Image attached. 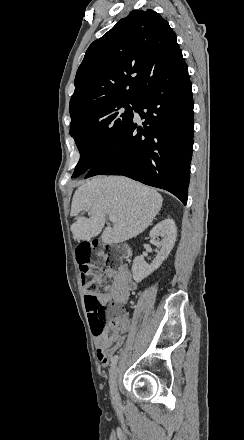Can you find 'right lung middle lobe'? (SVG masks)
I'll return each mask as SVG.
<instances>
[{
	"label": "right lung middle lobe",
	"instance_id": "obj_1",
	"mask_svg": "<svg viewBox=\"0 0 244 440\" xmlns=\"http://www.w3.org/2000/svg\"><path fill=\"white\" fill-rule=\"evenodd\" d=\"M136 98H108L70 110V134L80 152L72 177L87 172L133 119Z\"/></svg>",
	"mask_w": 244,
	"mask_h": 440
}]
</instances>
